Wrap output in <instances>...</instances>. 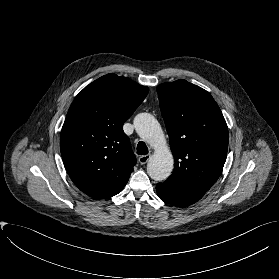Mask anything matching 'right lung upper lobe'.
Listing matches in <instances>:
<instances>
[{"mask_svg":"<svg viewBox=\"0 0 279 279\" xmlns=\"http://www.w3.org/2000/svg\"><path fill=\"white\" fill-rule=\"evenodd\" d=\"M148 91L126 77L108 74L85 87L72 102L60 149L70 178L83 193L110 198L128 182L136 158L123 124Z\"/></svg>","mask_w":279,"mask_h":279,"instance_id":"right-lung-upper-lobe-1","label":"right lung upper lobe"}]
</instances>
